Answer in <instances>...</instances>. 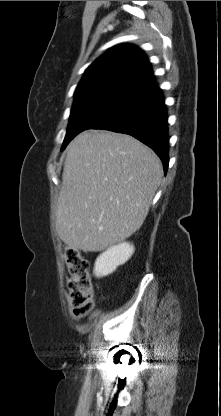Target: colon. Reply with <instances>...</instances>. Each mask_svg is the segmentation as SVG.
I'll list each match as a JSON object with an SVG mask.
<instances>
[{
	"label": "colon",
	"mask_w": 221,
	"mask_h": 416,
	"mask_svg": "<svg viewBox=\"0 0 221 416\" xmlns=\"http://www.w3.org/2000/svg\"><path fill=\"white\" fill-rule=\"evenodd\" d=\"M63 257L68 267L67 289L73 313L87 315L94 304V290L90 273V262L81 252L66 246Z\"/></svg>",
	"instance_id": "1"
}]
</instances>
